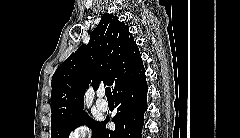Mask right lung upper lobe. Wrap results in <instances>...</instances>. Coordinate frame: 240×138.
Returning <instances> with one entry per match:
<instances>
[{"mask_svg": "<svg viewBox=\"0 0 240 138\" xmlns=\"http://www.w3.org/2000/svg\"><path fill=\"white\" fill-rule=\"evenodd\" d=\"M145 73L141 54L125 23L105 13L92 31L88 45H81L52 77L51 125L68 121L83 112L85 90L103 82L120 87Z\"/></svg>", "mask_w": 240, "mask_h": 138, "instance_id": "right-lung-upper-lobe-1", "label": "right lung upper lobe"}]
</instances>
